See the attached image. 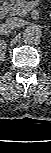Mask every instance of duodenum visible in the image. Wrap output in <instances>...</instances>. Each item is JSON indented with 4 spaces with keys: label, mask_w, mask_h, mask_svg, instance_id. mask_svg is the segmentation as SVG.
Instances as JSON below:
<instances>
[{
    "label": "duodenum",
    "mask_w": 51,
    "mask_h": 153,
    "mask_svg": "<svg viewBox=\"0 0 51 153\" xmlns=\"http://www.w3.org/2000/svg\"><path fill=\"white\" fill-rule=\"evenodd\" d=\"M7 13V5L4 4L0 8V18H3Z\"/></svg>",
    "instance_id": "duodenum-1"
}]
</instances>
